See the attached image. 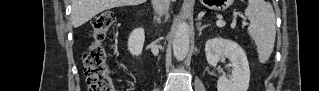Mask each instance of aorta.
<instances>
[{
  "instance_id": "aorta-1",
  "label": "aorta",
  "mask_w": 319,
  "mask_h": 91,
  "mask_svg": "<svg viewBox=\"0 0 319 91\" xmlns=\"http://www.w3.org/2000/svg\"><path fill=\"white\" fill-rule=\"evenodd\" d=\"M190 46L189 25L186 21H181L176 27L173 39V53L178 61L186 58Z\"/></svg>"
}]
</instances>
